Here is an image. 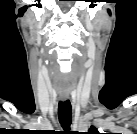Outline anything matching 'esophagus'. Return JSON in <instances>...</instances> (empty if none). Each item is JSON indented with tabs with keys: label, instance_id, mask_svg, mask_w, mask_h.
<instances>
[{
	"label": "esophagus",
	"instance_id": "esophagus-1",
	"mask_svg": "<svg viewBox=\"0 0 137 134\" xmlns=\"http://www.w3.org/2000/svg\"><path fill=\"white\" fill-rule=\"evenodd\" d=\"M68 97L67 96H61V99L65 101Z\"/></svg>",
	"mask_w": 137,
	"mask_h": 134
}]
</instances>
